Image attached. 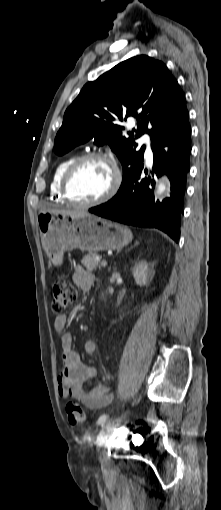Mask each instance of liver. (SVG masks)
Wrapping results in <instances>:
<instances>
[{"mask_svg": "<svg viewBox=\"0 0 221 510\" xmlns=\"http://www.w3.org/2000/svg\"><path fill=\"white\" fill-rule=\"evenodd\" d=\"M43 212H50V213H61L64 215H75V216H84L89 215L86 211H78V210H62V209H43L40 211V213Z\"/></svg>", "mask_w": 221, "mask_h": 510, "instance_id": "obj_1", "label": "liver"}]
</instances>
